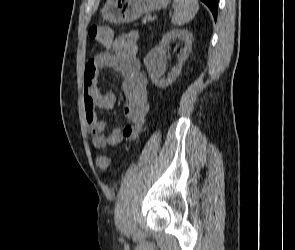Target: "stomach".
<instances>
[{
    "label": "stomach",
    "mask_w": 295,
    "mask_h": 250,
    "mask_svg": "<svg viewBox=\"0 0 295 250\" xmlns=\"http://www.w3.org/2000/svg\"><path fill=\"white\" fill-rule=\"evenodd\" d=\"M169 0H107L102 18L112 23L131 22L144 13L166 8Z\"/></svg>",
    "instance_id": "stomach-1"
}]
</instances>
